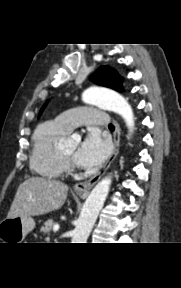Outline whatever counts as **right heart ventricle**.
Returning <instances> with one entry per match:
<instances>
[{
  "label": "right heart ventricle",
  "mask_w": 181,
  "mask_h": 288,
  "mask_svg": "<svg viewBox=\"0 0 181 288\" xmlns=\"http://www.w3.org/2000/svg\"><path fill=\"white\" fill-rule=\"evenodd\" d=\"M67 133L56 120L47 121L37 127L30 156L31 168L37 174L56 179L68 171L59 146L61 138Z\"/></svg>",
  "instance_id": "obj_1"
}]
</instances>
